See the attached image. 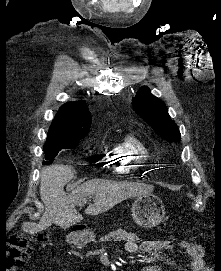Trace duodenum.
Here are the masks:
<instances>
[{"label":"duodenum","mask_w":221,"mask_h":271,"mask_svg":"<svg viewBox=\"0 0 221 271\" xmlns=\"http://www.w3.org/2000/svg\"><path fill=\"white\" fill-rule=\"evenodd\" d=\"M70 242L73 245L81 246V245H84L88 242V238H87L85 232L77 231L71 236Z\"/></svg>","instance_id":"1"}]
</instances>
